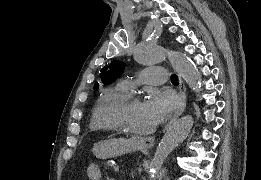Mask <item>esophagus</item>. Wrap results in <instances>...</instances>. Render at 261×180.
<instances>
[{"instance_id": "1", "label": "esophagus", "mask_w": 261, "mask_h": 180, "mask_svg": "<svg viewBox=\"0 0 261 180\" xmlns=\"http://www.w3.org/2000/svg\"><path fill=\"white\" fill-rule=\"evenodd\" d=\"M178 80H179L180 106L176 111V113L174 114V116L171 118L170 122L164 128V131L168 130V128L175 122V120L178 117H180V115L183 113L186 107V87L180 73L178 74ZM138 141L142 146L146 148H152L154 145L155 137H139Z\"/></svg>"}]
</instances>
